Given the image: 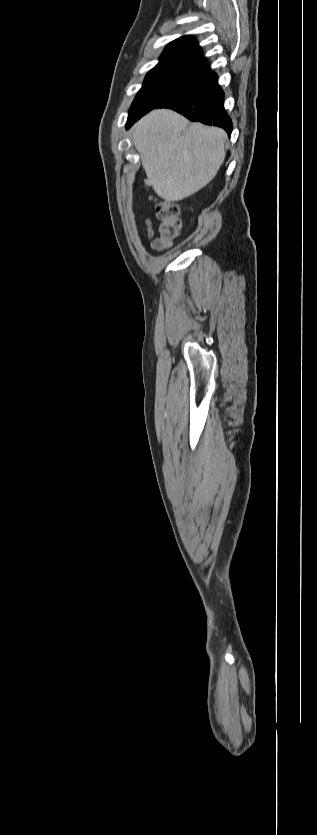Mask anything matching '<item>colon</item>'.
<instances>
[{
	"instance_id": "5ec220e1",
	"label": "colon",
	"mask_w": 317,
	"mask_h": 835,
	"mask_svg": "<svg viewBox=\"0 0 317 835\" xmlns=\"http://www.w3.org/2000/svg\"><path fill=\"white\" fill-rule=\"evenodd\" d=\"M151 199L156 204V216L160 221L162 245H168L181 232L179 206L161 196L152 195Z\"/></svg>"
}]
</instances>
